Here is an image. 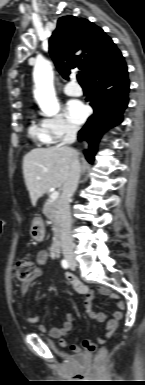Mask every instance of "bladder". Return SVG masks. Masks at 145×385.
I'll return each instance as SVG.
<instances>
[{
	"mask_svg": "<svg viewBox=\"0 0 145 385\" xmlns=\"http://www.w3.org/2000/svg\"><path fill=\"white\" fill-rule=\"evenodd\" d=\"M50 344H51L52 346H55V344H54L53 342H51ZM80 358H81L82 360H85V356H83V355H81Z\"/></svg>",
	"mask_w": 145,
	"mask_h": 385,
	"instance_id": "1",
	"label": "bladder"
}]
</instances>
